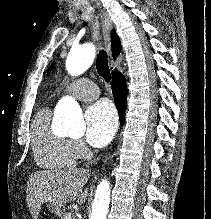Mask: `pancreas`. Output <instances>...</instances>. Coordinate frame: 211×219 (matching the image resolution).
<instances>
[{
  "label": "pancreas",
  "mask_w": 211,
  "mask_h": 219,
  "mask_svg": "<svg viewBox=\"0 0 211 219\" xmlns=\"http://www.w3.org/2000/svg\"><path fill=\"white\" fill-rule=\"evenodd\" d=\"M60 219H75V217L72 216L71 213H64L62 216H60Z\"/></svg>",
  "instance_id": "pancreas-1"
}]
</instances>
